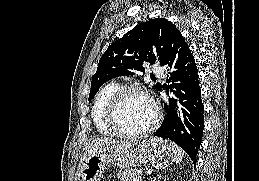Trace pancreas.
Instances as JSON below:
<instances>
[{
    "mask_svg": "<svg viewBox=\"0 0 259 181\" xmlns=\"http://www.w3.org/2000/svg\"><path fill=\"white\" fill-rule=\"evenodd\" d=\"M141 173L140 169H125V170H119L117 173L118 178L121 181H133V179L137 176H139Z\"/></svg>",
    "mask_w": 259,
    "mask_h": 181,
    "instance_id": "pancreas-1",
    "label": "pancreas"
}]
</instances>
